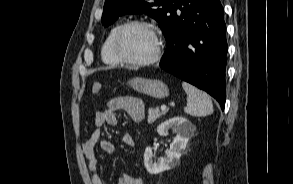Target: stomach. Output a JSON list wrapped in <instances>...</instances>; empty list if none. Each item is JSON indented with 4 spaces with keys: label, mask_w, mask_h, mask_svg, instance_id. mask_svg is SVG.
I'll use <instances>...</instances> for the list:
<instances>
[{
    "label": "stomach",
    "mask_w": 293,
    "mask_h": 184,
    "mask_svg": "<svg viewBox=\"0 0 293 184\" xmlns=\"http://www.w3.org/2000/svg\"><path fill=\"white\" fill-rule=\"evenodd\" d=\"M130 87L139 93L149 95L154 98H164L169 95V89L160 80L145 79L141 77H135L128 81Z\"/></svg>",
    "instance_id": "0dacf381"
}]
</instances>
